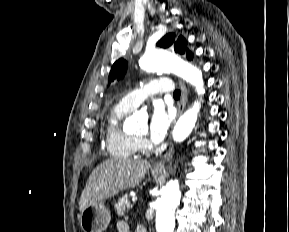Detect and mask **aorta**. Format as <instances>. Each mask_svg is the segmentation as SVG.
I'll return each instance as SVG.
<instances>
[{
    "mask_svg": "<svg viewBox=\"0 0 289 232\" xmlns=\"http://www.w3.org/2000/svg\"><path fill=\"white\" fill-rule=\"evenodd\" d=\"M140 67L148 72L168 73L172 72L180 76L202 96L205 93L202 72L193 65L175 58L168 51L156 49L146 52L139 61ZM201 103L195 101L177 121L173 129V139L176 142L185 140L195 127L198 112ZM139 118L137 116L129 117L124 124L126 130H135L138 128ZM181 197L179 182L177 180L169 181L162 190L161 197L156 201V231L173 232L175 227L174 213Z\"/></svg>",
    "mask_w": 289,
    "mask_h": 232,
    "instance_id": "obj_1",
    "label": "aorta"
}]
</instances>
